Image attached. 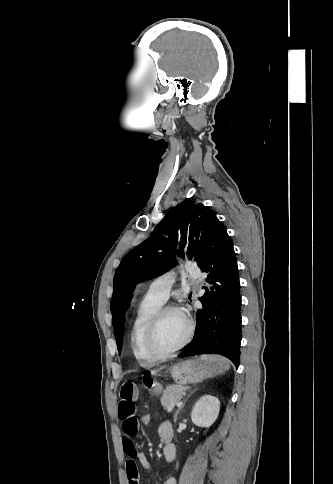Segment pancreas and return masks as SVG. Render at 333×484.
<instances>
[{
    "label": "pancreas",
    "instance_id": "cf45deb5",
    "mask_svg": "<svg viewBox=\"0 0 333 484\" xmlns=\"http://www.w3.org/2000/svg\"><path fill=\"white\" fill-rule=\"evenodd\" d=\"M186 389V387L181 385L167 386L161 397V404L164 409H169L179 402L185 396Z\"/></svg>",
    "mask_w": 333,
    "mask_h": 484
}]
</instances>
